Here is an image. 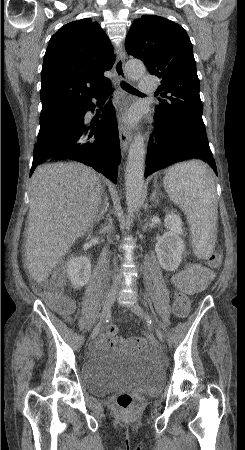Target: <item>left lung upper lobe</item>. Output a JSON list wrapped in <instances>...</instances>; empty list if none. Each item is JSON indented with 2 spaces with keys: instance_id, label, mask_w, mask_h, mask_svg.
<instances>
[{
  "instance_id": "1",
  "label": "left lung upper lobe",
  "mask_w": 245,
  "mask_h": 450,
  "mask_svg": "<svg viewBox=\"0 0 245 450\" xmlns=\"http://www.w3.org/2000/svg\"><path fill=\"white\" fill-rule=\"evenodd\" d=\"M129 55L141 59L152 75L162 78L155 114L171 128L207 139L203 106L191 41L179 25L160 16L136 19L126 37Z\"/></svg>"
}]
</instances>
